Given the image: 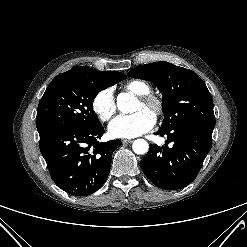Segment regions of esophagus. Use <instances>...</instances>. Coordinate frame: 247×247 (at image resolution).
Returning <instances> with one entry per match:
<instances>
[{"label":"esophagus","mask_w":247,"mask_h":247,"mask_svg":"<svg viewBox=\"0 0 247 247\" xmlns=\"http://www.w3.org/2000/svg\"><path fill=\"white\" fill-rule=\"evenodd\" d=\"M122 143L123 144L132 143V140L131 139H122Z\"/></svg>","instance_id":"34e87169"}]
</instances>
